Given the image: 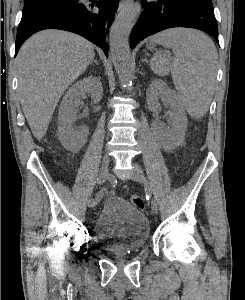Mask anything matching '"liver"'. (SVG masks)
Listing matches in <instances>:
<instances>
[{
  "instance_id": "6515ba94",
  "label": "liver",
  "mask_w": 245,
  "mask_h": 300,
  "mask_svg": "<svg viewBox=\"0 0 245 300\" xmlns=\"http://www.w3.org/2000/svg\"><path fill=\"white\" fill-rule=\"evenodd\" d=\"M94 56L92 43L61 30L38 32L23 44L16 58L18 92L36 139L45 136L61 96Z\"/></svg>"
}]
</instances>
